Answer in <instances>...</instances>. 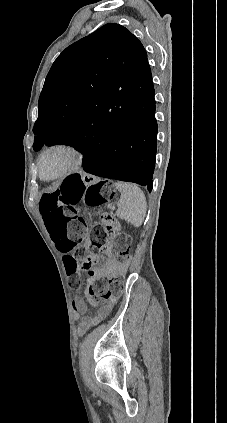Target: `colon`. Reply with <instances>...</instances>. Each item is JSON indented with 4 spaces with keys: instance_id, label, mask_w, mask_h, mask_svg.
<instances>
[{
    "instance_id": "obj_1",
    "label": "colon",
    "mask_w": 227,
    "mask_h": 423,
    "mask_svg": "<svg viewBox=\"0 0 227 423\" xmlns=\"http://www.w3.org/2000/svg\"><path fill=\"white\" fill-rule=\"evenodd\" d=\"M112 187L105 182H91L80 175L67 177L60 187L46 191L40 200L39 210L45 226L59 251L64 254V265L70 287L78 291L82 283V273H87V298L94 306H99L110 298L120 295L123 286L122 276L105 279L92 269L94 255L104 250L108 244L107 233L116 228L112 214L104 213L100 222L94 225L90 236L91 254L76 256L73 252L85 235L84 220L79 216L77 206L84 201L96 207L112 199ZM116 262L127 265L131 259L130 239L124 233H116L111 244Z\"/></svg>"
}]
</instances>
